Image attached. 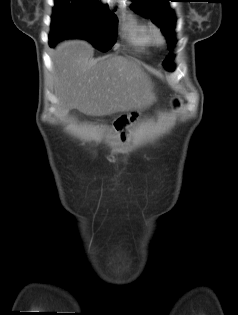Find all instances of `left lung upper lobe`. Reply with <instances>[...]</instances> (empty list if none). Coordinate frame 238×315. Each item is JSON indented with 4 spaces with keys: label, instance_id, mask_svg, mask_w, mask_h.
I'll list each match as a JSON object with an SVG mask.
<instances>
[{
    "label": "left lung upper lobe",
    "instance_id": "1",
    "mask_svg": "<svg viewBox=\"0 0 238 315\" xmlns=\"http://www.w3.org/2000/svg\"><path fill=\"white\" fill-rule=\"evenodd\" d=\"M168 1L172 0H133L131 8L138 14L151 18L162 29L169 42L175 37L176 18L174 12L169 8ZM172 60V55L167 56L164 60L163 64L167 70H173Z\"/></svg>",
    "mask_w": 238,
    "mask_h": 315
}]
</instances>
